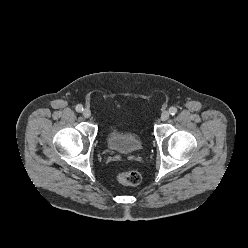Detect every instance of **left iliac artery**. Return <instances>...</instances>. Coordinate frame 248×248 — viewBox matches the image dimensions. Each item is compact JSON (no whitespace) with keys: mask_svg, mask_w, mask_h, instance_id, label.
Segmentation results:
<instances>
[{"mask_svg":"<svg viewBox=\"0 0 248 248\" xmlns=\"http://www.w3.org/2000/svg\"><path fill=\"white\" fill-rule=\"evenodd\" d=\"M169 113H170L171 115H175V114L177 113V108L171 107V108L169 109Z\"/></svg>","mask_w":248,"mask_h":248,"instance_id":"44dca946","label":"left iliac artery"}]
</instances>
